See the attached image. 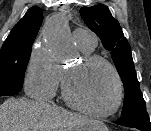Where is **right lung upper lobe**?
Here are the masks:
<instances>
[{"mask_svg":"<svg viewBox=\"0 0 151 131\" xmlns=\"http://www.w3.org/2000/svg\"><path fill=\"white\" fill-rule=\"evenodd\" d=\"M43 21L42 10L34 6L13 27L3 46L31 45Z\"/></svg>","mask_w":151,"mask_h":131,"instance_id":"obj_1","label":"right lung upper lobe"}]
</instances>
